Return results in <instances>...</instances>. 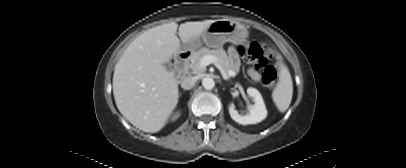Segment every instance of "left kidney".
I'll use <instances>...</instances> for the list:
<instances>
[{
    "label": "left kidney",
    "mask_w": 406,
    "mask_h": 168,
    "mask_svg": "<svg viewBox=\"0 0 406 168\" xmlns=\"http://www.w3.org/2000/svg\"><path fill=\"white\" fill-rule=\"evenodd\" d=\"M247 94L254 101L253 105H249L245 114H239L235 109L234 104L229 105V113L231 118L242 125L256 124L264 120L267 116V110L260 92L255 88H248Z\"/></svg>",
    "instance_id": "obj_1"
}]
</instances>
